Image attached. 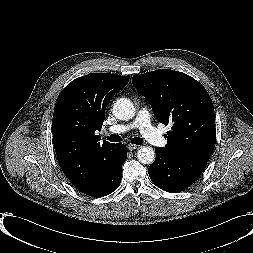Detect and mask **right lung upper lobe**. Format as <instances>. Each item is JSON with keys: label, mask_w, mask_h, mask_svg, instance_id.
Instances as JSON below:
<instances>
[{"label": "right lung upper lobe", "mask_w": 253, "mask_h": 253, "mask_svg": "<svg viewBox=\"0 0 253 253\" xmlns=\"http://www.w3.org/2000/svg\"><path fill=\"white\" fill-rule=\"evenodd\" d=\"M128 81L129 76L92 73L73 80L58 97L52 122L54 148L61 169L79 190L113 158L116 144L100 145L95 131L103 125L112 96Z\"/></svg>", "instance_id": "right-lung-upper-lobe-1"}]
</instances>
